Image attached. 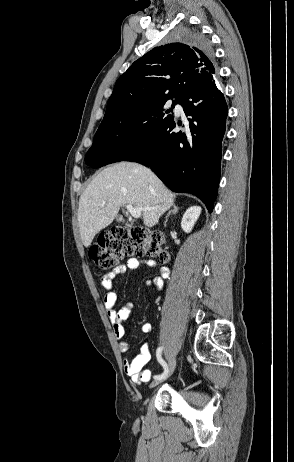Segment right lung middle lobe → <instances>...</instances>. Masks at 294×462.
I'll return each mask as SVG.
<instances>
[{
  "mask_svg": "<svg viewBox=\"0 0 294 462\" xmlns=\"http://www.w3.org/2000/svg\"><path fill=\"white\" fill-rule=\"evenodd\" d=\"M175 37L191 46L211 50L209 41L196 30L180 28ZM172 108L180 101V96H164L135 104L122 111L104 116L85 161L101 155L105 164L123 161L133 150L158 132L173 119ZM169 114V115H168Z\"/></svg>",
  "mask_w": 294,
  "mask_h": 462,
  "instance_id": "obj_1",
  "label": "right lung middle lobe"
}]
</instances>
